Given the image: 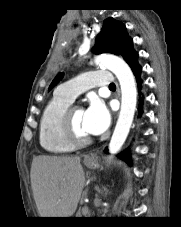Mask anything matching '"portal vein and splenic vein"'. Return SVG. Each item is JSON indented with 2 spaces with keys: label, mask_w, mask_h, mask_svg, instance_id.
I'll use <instances>...</instances> for the list:
<instances>
[{
  "label": "portal vein and splenic vein",
  "mask_w": 181,
  "mask_h": 227,
  "mask_svg": "<svg viewBox=\"0 0 181 227\" xmlns=\"http://www.w3.org/2000/svg\"><path fill=\"white\" fill-rule=\"evenodd\" d=\"M84 208H85L86 210H88V207H87V206H85Z\"/></svg>",
  "instance_id": "1"
}]
</instances>
